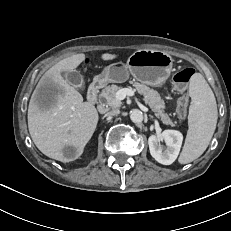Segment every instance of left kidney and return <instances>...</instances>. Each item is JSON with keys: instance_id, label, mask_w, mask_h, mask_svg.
<instances>
[{"instance_id": "left-kidney-1", "label": "left kidney", "mask_w": 231, "mask_h": 231, "mask_svg": "<svg viewBox=\"0 0 231 231\" xmlns=\"http://www.w3.org/2000/svg\"><path fill=\"white\" fill-rule=\"evenodd\" d=\"M164 140L167 148L163 151L159 142ZM183 135L177 130H164L160 136L152 135L148 138L151 156L163 165L172 164L178 157Z\"/></svg>"}]
</instances>
